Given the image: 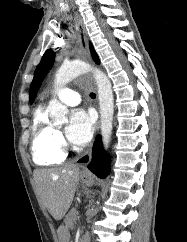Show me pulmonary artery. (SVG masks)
<instances>
[{
	"instance_id": "e3ab8cb5",
	"label": "pulmonary artery",
	"mask_w": 187,
	"mask_h": 242,
	"mask_svg": "<svg viewBox=\"0 0 187 242\" xmlns=\"http://www.w3.org/2000/svg\"><path fill=\"white\" fill-rule=\"evenodd\" d=\"M55 95L59 100L69 106L77 105L80 102V96L78 92L69 87H64L58 90Z\"/></svg>"
}]
</instances>
